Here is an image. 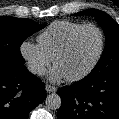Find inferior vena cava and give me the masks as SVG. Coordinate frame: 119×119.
Returning a JSON list of instances; mask_svg holds the SVG:
<instances>
[{"label":"inferior vena cava","mask_w":119,"mask_h":119,"mask_svg":"<svg viewBox=\"0 0 119 119\" xmlns=\"http://www.w3.org/2000/svg\"><path fill=\"white\" fill-rule=\"evenodd\" d=\"M28 70L33 74H42L45 68L39 64H29Z\"/></svg>","instance_id":"1"}]
</instances>
